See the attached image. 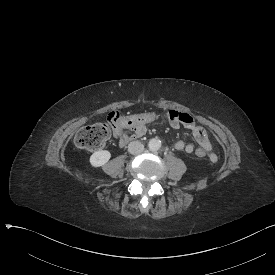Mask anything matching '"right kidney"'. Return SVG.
Returning a JSON list of instances; mask_svg holds the SVG:
<instances>
[{
  "label": "right kidney",
  "instance_id": "obj_1",
  "mask_svg": "<svg viewBox=\"0 0 275 275\" xmlns=\"http://www.w3.org/2000/svg\"><path fill=\"white\" fill-rule=\"evenodd\" d=\"M110 158L111 153L108 150H100L90 156L89 162L92 167L99 168L107 164Z\"/></svg>",
  "mask_w": 275,
  "mask_h": 275
}]
</instances>
